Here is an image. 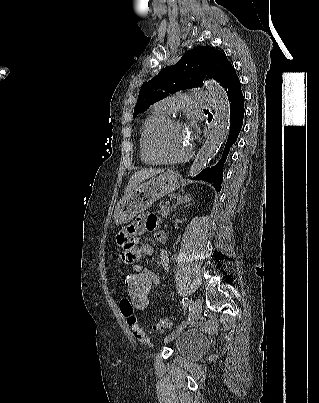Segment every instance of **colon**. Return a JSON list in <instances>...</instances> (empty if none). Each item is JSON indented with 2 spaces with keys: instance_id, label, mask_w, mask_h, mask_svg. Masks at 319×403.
Here are the masks:
<instances>
[{
  "instance_id": "obj_1",
  "label": "colon",
  "mask_w": 319,
  "mask_h": 403,
  "mask_svg": "<svg viewBox=\"0 0 319 403\" xmlns=\"http://www.w3.org/2000/svg\"><path fill=\"white\" fill-rule=\"evenodd\" d=\"M136 251V248H135ZM140 259L135 258L134 264L125 267L127 296H118L117 303L122 325L128 326V334L132 341L146 344L149 337L140 327L135 313H142L143 309L150 308L152 300V286L154 284V275H145V267H141ZM135 305V310L133 308ZM173 321L170 317L162 318L154 327V331L161 332L170 328Z\"/></svg>"
}]
</instances>
